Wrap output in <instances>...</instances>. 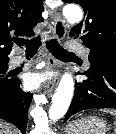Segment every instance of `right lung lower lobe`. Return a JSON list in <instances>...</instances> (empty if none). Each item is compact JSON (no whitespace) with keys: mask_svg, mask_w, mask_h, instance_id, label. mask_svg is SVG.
Wrapping results in <instances>:
<instances>
[{"mask_svg":"<svg viewBox=\"0 0 116 134\" xmlns=\"http://www.w3.org/2000/svg\"><path fill=\"white\" fill-rule=\"evenodd\" d=\"M19 85L20 81L15 80L10 89L0 92V118L11 122L25 134L32 94L23 92Z\"/></svg>","mask_w":116,"mask_h":134,"instance_id":"obj_1","label":"right lung lower lobe"}]
</instances>
